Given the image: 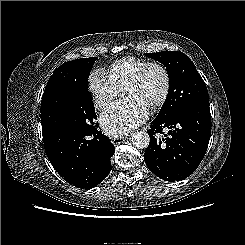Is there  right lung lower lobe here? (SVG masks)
I'll list each match as a JSON object with an SVG mask.
<instances>
[{
  "label": "right lung lower lobe",
  "mask_w": 245,
  "mask_h": 245,
  "mask_svg": "<svg viewBox=\"0 0 245 245\" xmlns=\"http://www.w3.org/2000/svg\"><path fill=\"white\" fill-rule=\"evenodd\" d=\"M97 128L98 123L88 128H42L52 166L66 182L81 189L96 187L111 171L115 147Z\"/></svg>",
  "instance_id": "obj_1"
}]
</instances>
